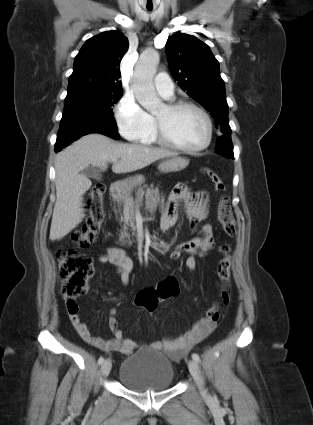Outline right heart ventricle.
Listing matches in <instances>:
<instances>
[{
	"mask_svg": "<svg viewBox=\"0 0 313 425\" xmlns=\"http://www.w3.org/2000/svg\"><path fill=\"white\" fill-rule=\"evenodd\" d=\"M141 142L143 144H146V145H153V144H156L158 142V140H157L155 134L151 133L148 137L143 139Z\"/></svg>",
	"mask_w": 313,
	"mask_h": 425,
	"instance_id": "e07e8e85",
	"label": "right heart ventricle"
}]
</instances>
